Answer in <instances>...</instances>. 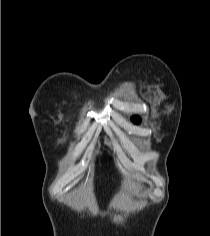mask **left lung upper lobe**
I'll list each match as a JSON object with an SVG mask.
<instances>
[{
    "instance_id": "5c2ea615",
    "label": "left lung upper lobe",
    "mask_w": 210,
    "mask_h": 236,
    "mask_svg": "<svg viewBox=\"0 0 210 236\" xmlns=\"http://www.w3.org/2000/svg\"><path fill=\"white\" fill-rule=\"evenodd\" d=\"M132 121L136 124L140 123V118L139 117H133Z\"/></svg>"
}]
</instances>
